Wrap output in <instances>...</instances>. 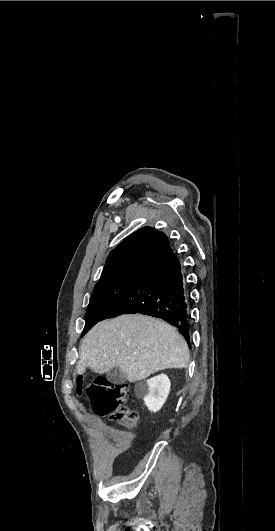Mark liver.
I'll return each instance as SVG.
<instances>
[{
    "label": "liver",
    "mask_w": 275,
    "mask_h": 531,
    "mask_svg": "<svg viewBox=\"0 0 275 531\" xmlns=\"http://www.w3.org/2000/svg\"><path fill=\"white\" fill-rule=\"evenodd\" d=\"M188 361L187 343L175 327L146 315H121L85 335L77 373L89 367L104 375L120 367L129 383H136L163 369H186Z\"/></svg>",
    "instance_id": "obj_1"
}]
</instances>
